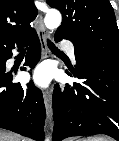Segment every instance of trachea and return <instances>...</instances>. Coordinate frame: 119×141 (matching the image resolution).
Returning <instances> with one entry per match:
<instances>
[{
  "instance_id": "obj_1",
  "label": "trachea",
  "mask_w": 119,
  "mask_h": 141,
  "mask_svg": "<svg viewBox=\"0 0 119 141\" xmlns=\"http://www.w3.org/2000/svg\"><path fill=\"white\" fill-rule=\"evenodd\" d=\"M48 42V47L53 51V52H61L50 40Z\"/></svg>"
}]
</instances>
